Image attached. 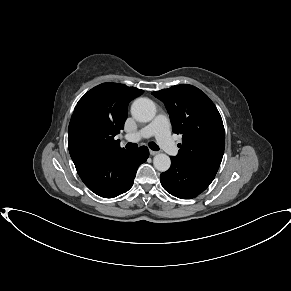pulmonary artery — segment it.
I'll list each match as a JSON object with an SVG mask.
<instances>
[{"mask_svg":"<svg viewBox=\"0 0 291 291\" xmlns=\"http://www.w3.org/2000/svg\"><path fill=\"white\" fill-rule=\"evenodd\" d=\"M169 126L170 122L168 117L164 114H160L139 131L126 134L124 139L127 141L136 142L142 138L155 136L158 143L168 154L176 155L178 148L170 136Z\"/></svg>","mask_w":291,"mask_h":291,"instance_id":"1","label":"pulmonary artery"}]
</instances>
